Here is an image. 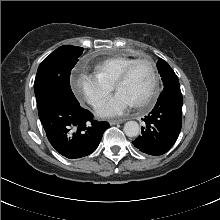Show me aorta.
I'll return each instance as SVG.
<instances>
[{
  "instance_id": "1",
  "label": "aorta",
  "mask_w": 220,
  "mask_h": 220,
  "mask_svg": "<svg viewBox=\"0 0 220 220\" xmlns=\"http://www.w3.org/2000/svg\"><path fill=\"white\" fill-rule=\"evenodd\" d=\"M123 130L128 137H135L140 133V127L136 121L126 122Z\"/></svg>"
}]
</instances>
